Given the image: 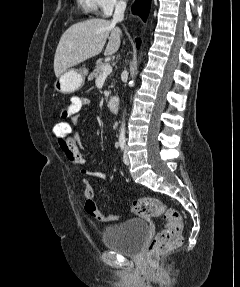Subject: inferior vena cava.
Wrapping results in <instances>:
<instances>
[{
    "label": "inferior vena cava",
    "instance_id": "1",
    "mask_svg": "<svg viewBox=\"0 0 240 287\" xmlns=\"http://www.w3.org/2000/svg\"><path fill=\"white\" fill-rule=\"evenodd\" d=\"M126 9V3L122 0L115 1V11L113 15V23L121 22L124 19V12Z\"/></svg>",
    "mask_w": 240,
    "mask_h": 287
}]
</instances>
